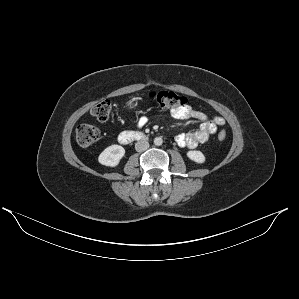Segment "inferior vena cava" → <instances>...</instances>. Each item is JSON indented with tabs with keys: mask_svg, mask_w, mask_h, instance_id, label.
I'll use <instances>...</instances> for the list:
<instances>
[{
	"mask_svg": "<svg viewBox=\"0 0 299 299\" xmlns=\"http://www.w3.org/2000/svg\"><path fill=\"white\" fill-rule=\"evenodd\" d=\"M149 148V143L147 141H138L136 144H135V149L137 152H142V151H145Z\"/></svg>",
	"mask_w": 299,
	"mask_h": 299,
	"instance_id": "602c4592",
	"label": "inferior vena cava"
}]
</instances>
